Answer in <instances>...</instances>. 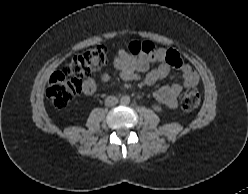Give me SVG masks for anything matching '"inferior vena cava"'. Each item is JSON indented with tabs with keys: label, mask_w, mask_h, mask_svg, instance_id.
Wrapping results in <instances>:
<instances>
[{
	"label": "inferior vena cava",
	"mask_w": 248,
	"mask_h": 194,
	"mask_svg": "<svg viewBox=\"0 0 248 194\" xmlns=\"http://www.w3.org/2000/svg\"><path fill=\"white\" fill-rule=\"evenodd\" d=\"M118 103V99L115 96H108L105 99V105L110 107V106H114Z\"/></svg>",
	"instance_id": "obj_1"
}]
</instances>
